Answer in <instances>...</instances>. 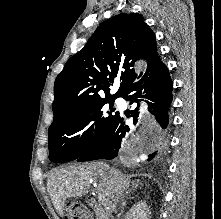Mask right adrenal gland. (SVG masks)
Instances as JSON below:
<instances>
[{
  "label": "right adrenal gland",
  "mask_w": 221,
  "mask_h": 219,
  "mask_svg": "<svg viewBox=\"0 0 221 219\" xmlns=\"http://www.w3.org/2000/svg\"><path fill=\"white\" fill-rule=\"evenodd\" d=\"M142 185V184H141ZM139 187V184L136 183L132 186L131 191L128 193V196L126 197L127 199H132L133 197L131 196L133 194V192H135V190ZM126 206V201L124 202V207ZM124 209V208H123Z\"/></svg>",
  "instance_id": "1"
}]
</instances>
